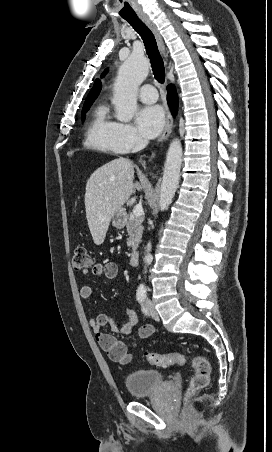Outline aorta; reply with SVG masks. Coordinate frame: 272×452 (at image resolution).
Listing matches in <instances>:
<instances>
[{
    "label": "aorta",
    "instance_id": "obj_1",
    "mask_svg": "<svg viewBox=\"0 0 272 452\" xmlns=\"http://www.w3.org/2000/svg\"><path fill=\"white\" fill-rule=\"evenodd\" d=\"M149 65L143 55L132 54L119 68L114 85L116 118L120 121H130L137 111V90L148 75ZM182 163V145L179 139H174L168 148L164 173L160 188L159 207L166 210L172 203L178 187ZM146 293L144 284L137 288V294Z\"/></svg>",
    "mask_w": 272,
    "mask_h": 452
}]
</instances>
